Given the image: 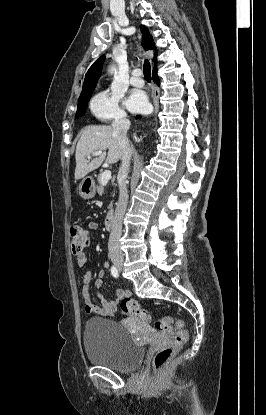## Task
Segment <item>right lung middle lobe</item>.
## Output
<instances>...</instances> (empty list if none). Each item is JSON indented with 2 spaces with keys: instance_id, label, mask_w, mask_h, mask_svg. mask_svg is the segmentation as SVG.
Here are the masks:
<instances>
[{
  "instance_id": "1",
  "label": "right lung middle lobe",
  "mask_w": 266,
  "mask_h": 415,
  "mask_svg": "<svg viewBox=\"0 0 266 415\" xmlns=\"http://www.w3.org/2000/svg\"><path fill=\"white\" fill-rule=\"evenodd\" d=\"M91 95H92V92L88 93L86 95H83L79 98L77 112H76L75 117H79V116L84 115L85 109H86V106H87V102L89 101Z\"/></svg>"
}]
</instances>
